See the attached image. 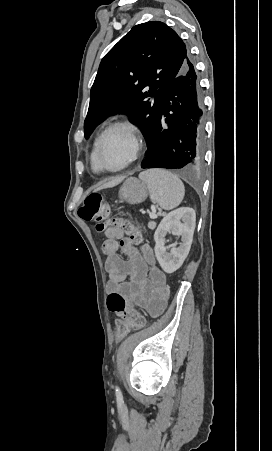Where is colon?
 Returning <instances> with one entry per match:
<instances>
[{
    "mask_svg": "<svg viewBox=\"0 0 272 451\" xmlns=\"http://www.w3.org/2000/svg\"><path fill=\"white\" fill-rule=\"evenodd\" d=\"M106 197L102 192H93L85 197L78 209V215L88 224H94L97 232L102 233L108 227L126 226L129 219L115 218L110 223L105 222ZM142 238V231L135 230L134 240L137 242ZM107 312L117 314V330L120 335L143 327L146 320L135 308L128 305L127 300L120 294H113L106 301ZM116 343V342H115Z\"/></svg>",
    "mask_w": 272,
    "mask_h": 451,
    "instance_id": "1",
    "label": "colon"
}]
</instances>
